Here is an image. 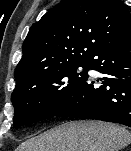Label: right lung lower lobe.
Listing matches in <instances>:
<instances>
[{"mask_svg": "<svg viewBox=\"0 0 131 151\" xmlns=\"http://www.w3.org/2000/svg\"><path fill=\"white\" fill-rule=\"evenodd\" d=\"M89 69L105 75L101 86L88 78L55 116L97 119L131 127V33L97 49Z\"/></svg>", "mask_w": 131, "mask_h": 151, "instance_id": "obj_1", "label": "right lung lower lobe"}]
</instances>
